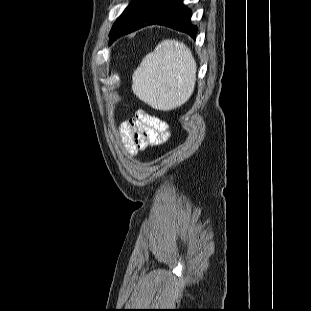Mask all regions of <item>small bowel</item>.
Masks as SVG:
<instances>
[{"mask_svg":"<svg viewBox=\"0 0 311 311\" xmlns=\"http://www.w3.org/2000/svg\"><path fill=\"white\" fill-rule=\"evenodd\" d=\"M167 129L166 122L138 111L135 118L122 123L120 137L125 150L130 155H135L149 145L164 144L169 138Z\"/></svg>","mask_w":311,"mask_h":311,"instance_id":"1","label":"small bowel"}]
</instances>
